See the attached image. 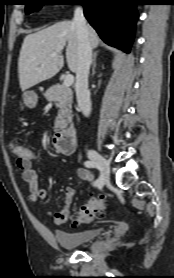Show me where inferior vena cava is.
I'll list each match as a JSON object with an SVG mask.
<instances>
[{"mask_svg":"<svg viewBox=\"0 0 174 278\" xmlns=\"http://www.w3.org/2000/svg\"><path fill=\"white\" fill-rule=\"evenodd\" d=\"M73 23L77 31L79 55L75 83L76 98L78 107L87 117L91 113L88 76L90 65L92 63V47L89 41L88 25L86 23L83 9L81 7H76L74 11Z\"/></svg>","mask_w":174,"mask_h":278,"instance_id":"1","label":"inferior vena cava"}]
</instances>
